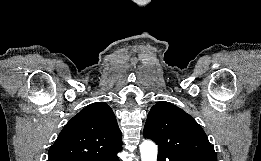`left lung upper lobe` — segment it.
<instances>
[{
    "label": "left lung upper lobe",
    "instance_id": "obj_1",
    "mask_svg": "<svg viewBox=\"0 0 261 161\" xmlns=\"http://www.w3.org/2000/svg\"><path fill=\"white\" fill-rule=\"evenodd\" d=\"M144 137L153 140L162 151H172L203 161H217L214 146L200 125L171 103L159 102L151 108Z\"/></svg>",
    "mask_w": 261,
    "mask_h": 161
}]
</instances>
